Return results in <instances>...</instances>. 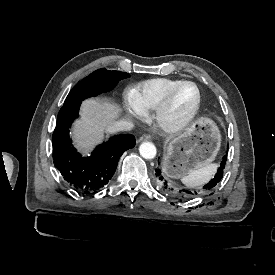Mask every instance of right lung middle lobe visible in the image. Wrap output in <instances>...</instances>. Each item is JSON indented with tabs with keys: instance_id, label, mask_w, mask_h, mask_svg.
<instances>
[{
	"instance_id": "1",
	"label": "right lung middle lobe",
	"mask_w": 275,
	"mask_h": 275,
	"mask_svg": "<svg viewBox=\"0 0 275 275\" xmlns=\"http://www.w3.org/2000/svg\"><path fill=\"white\" fill-rule=\"evenodd\" d=\"M130 77L128 73L98 69L81 80L68 94L64 105L81 103L84 99L112 90L117 83Z\"/></svg>"
}]
</instances>
